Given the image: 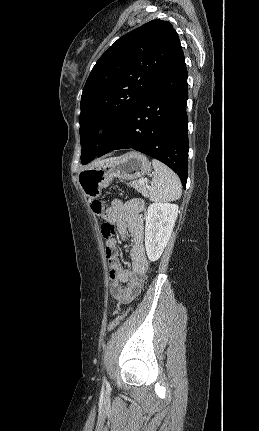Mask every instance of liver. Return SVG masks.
Instances as JSON below:
<instances>
[{"instance_id":"obj_1","label":"liver","mask_w":259,"mask_h":431,"mask_svg":"<svg viewBox=\"0 0 259 431\" xmlns=\"http://www.w3.org/2000/svg\"><path fill=\"white\" fill-rule=\"evenodd\" d=\"M106 160H108V159H106ZM106 160L98 161V162H96V163H95V165L100 164V163H103V162H104V161H106Z\"/></svg>"}]
</instances>
